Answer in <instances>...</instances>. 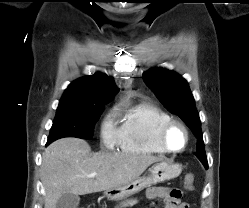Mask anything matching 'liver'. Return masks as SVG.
Segmentation results:
<instances>
[{"mask_svg":"<svg viewBox=\"0 0 249 208\" xmlns=\"http://www.w3.org/2000/svg\"><path fill=\"white\" fill-rule=\"evenodd\" d=\"M163 158L152 155L91 153L89 144L67 137L51 143L43 153L41 181L45 189L44 208H56L66 194L85 195L126 185L153 163ZM96 173V177L87 175Z\"/></svg>","mask_w":249,"mask_h":208,"instance_id":"1","label":"liver"}]
</instances>
